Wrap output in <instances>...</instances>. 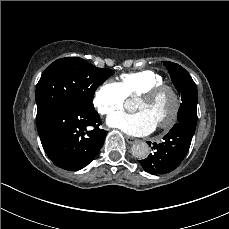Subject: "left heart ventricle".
Instances as JSON below:
<instances>
[{
  "mask_svg": "<svg viewBox=\"0 0 229 229\" xmlns=\"http://www.w3.org/2000/svg\"><path fill=\"white\" fill-rule=\"evenodd\" d=\"M170 92H164L156 100L150 101L140 98L136 105V110L146 112L156 124L166 122V117L170 115Z\"/></svg>",
  "mask_w": 229,
  "mask_h": 229,
  "instance_id": "obj_1",
  "label": "left heart ventricle"
}]
</instances>
